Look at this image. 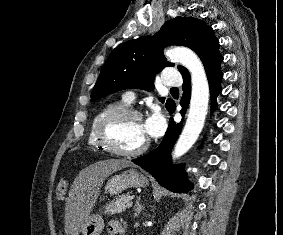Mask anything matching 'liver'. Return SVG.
Masks as SVG:
<instances>
[{
  "label": "liver",
  "instance_id": "1",
  "mask_svg": "<svg viewBox=\"0 0 283 235\" xmlns=\"http://www.w3.org/2000/svg\"><path fill=\"white\" fill-rule=\"evenodd\" d=\"M133 166L128 160L110 159L91 164L78 174L65 206L66 235H79L97 201L104 180L117 170Z\"/></svg>",
  "mask_w": 283,
  "mask_h": 235
}]
</instances>
